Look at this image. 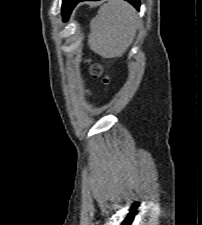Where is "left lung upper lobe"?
I'll list each match as a JSON object with an SVG mask.
<instances>
[{"mask_svg": "<svg viewBox=\"0 0 202 225\" xmlns=\"http://www.w3.org/2000/svg\"><path fill=\"white\" fill-rule=\"evenodd\" d=\"M76 1L77 0H63L62 1V15L65 20H67L68 17L70 16V14L74 8L73 6Z\"/></svg>", "mask_w": 202, "mask_h": 225, "instance_id": "obj_1", "label": "left lung upper lobe"}]
</instances>
